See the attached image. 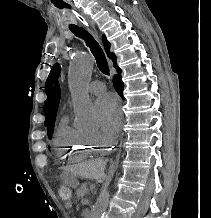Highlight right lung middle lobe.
Listing matches in <instances>:
<instances>
[{
    "label": "right lung middle lobe",
    "mask_w": 211,
    "mask_h": 218,
    "mask_svg": "<svg viewBox=\"0 0 211 218\" xmlns=\"http://www.w3.org/2000/svg\"><path fill=\"white\" fill-rule=\"evenodd\" d=\"M51 137H52V134L49 136V138L51 139Z\"/></svg>",
    "instance_id": "right-lung-middle-lobe-1"
}]
</instances>
